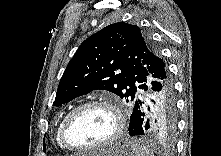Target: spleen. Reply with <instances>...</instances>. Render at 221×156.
I'll return each instance as SVG.
<instances>
[{"instance_id":"3e777b00","label":"spleen","mask_w":221,"mask_h":156,"mask_svg":"<svg viewBox=\"0 0 221 156\" xmlns=\"http://www.w3.org/2000/svg\"><path fill=\"white\" fill-rule=\"evenodd\" d=\"M130 145L134 156H153V153L149 149L139 143L130 142Z\"/></svg>"}]
</instances>
